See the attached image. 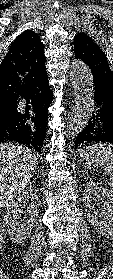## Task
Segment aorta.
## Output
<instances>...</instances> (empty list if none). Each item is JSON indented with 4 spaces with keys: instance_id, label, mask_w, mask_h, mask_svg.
I'll return each instance as SVG.
<instances>
[{
    "instance_id": "1",
    "label": "aorta",
    "mask_w": 113,
    "mask_h": 279,
    "mask_svg": "<svg viewBox=\"0 0 113 279\" xmlns=\"http://www.w3.org/2000/svg\"><path fill=\"white\" fill-rule=\"evenodd\" d=\"M74 90V108L64 131L67 138L76 137L88 124L94 109L93 77L89 67L81 60H74L70 67Z\"/></svg>"
}]
</instances>
